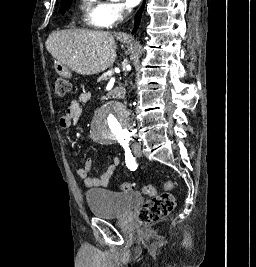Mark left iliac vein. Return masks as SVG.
<instances>
[{
	"mask_svg": "<svg viewBox=\"0 0 256 267\" xmlns=\"http://www.w3.org/2000/svg\"><path fill=\"white\" fill-rule=\"evenodd\" d=\"M133 151L136 157H141V146L137 143L133 145Z\"/></svg>",
	"mask_w": 256,
	"mask_h": 267,
	"instance_id": "obj_1",
	"label": "left iliac vein"
}]
</instances>
